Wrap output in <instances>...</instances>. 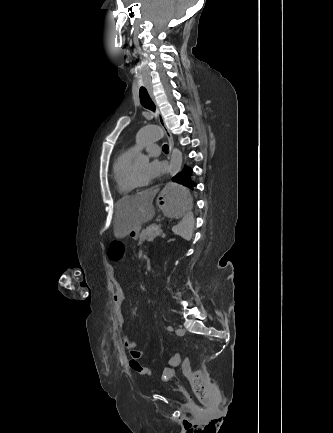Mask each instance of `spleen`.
<instances>
[{"label": "spleen", "instance_id": "3e777b00", "mask_svg": "<svg viewBox=\"0 0 333 433\" xmlns=\"http://www.w3.org/2000/svg\"><path fill=\"white\" fill-rule=\"evenodd\" d=\"M194 224L193 213L191 210H188L187 215H184V220H181L178 224L174 225L172 231L175 235L189 241L193 236Z\"/></svg>", "mask_w": 333, "mask_h": 433}]
</instances>
